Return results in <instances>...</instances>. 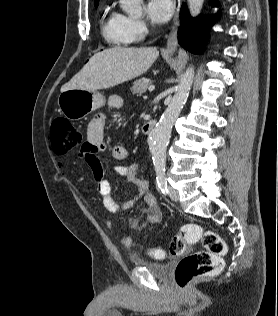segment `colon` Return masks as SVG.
<instances>
[{"mask_svg": "<svg viewBox=\"0 0 278 316\" xmlns=\"http://www.w3.org/2000/svg\"><path fill=\"white\" fill-rule=\"evenodd\" d=\"M83 142V134L68 120L55 119L51 125V145L58 155L66 154ZM201 241L205 250L197 251L183 257L175 271V282L180 289L200 277L211 275L223 268V256L226 253V244L213 230H206L198 224H185L170 242V253L173 256L182 255L187 245ZM150 255L163 258L161 249L151 250Z\"/></svg>", "mask_w": 278, "mask_h": 316, "instance_id": "colon-1", "label": "colon"}]
</instances>
